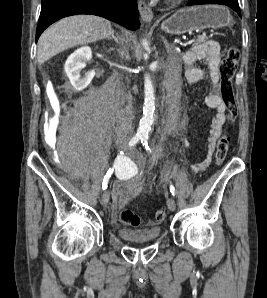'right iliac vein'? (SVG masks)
Returning a JSON list of instances; mask_svg holds the SVG:
<instances>
[{
    "instance_id": "1",
    "label": "right iliac vein",
    "mask_w": 267,
    "mask_h": 298,
    "mask_svg": "<svg viewBox=\"0 0 267 298\" xmlns=\"http://www.w3.org/2000/svg\"><path fill=\"white\" fill-rule=\"evenodd\" d=\"M124 146L123 145H120L118 147V151H121V150H124ZM109 199H110V194L108 192V190H105L103 193H102V196H101V203L103 206H106L108 203H109Z\"/></svg>"
}]
</instances>
